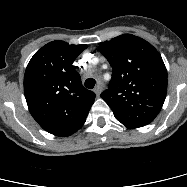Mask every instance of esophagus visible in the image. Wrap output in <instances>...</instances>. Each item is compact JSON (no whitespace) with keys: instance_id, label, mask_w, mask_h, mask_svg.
<instances>
[{"instance_id":"1","label":"esophagus","mask_w":187,"mask_h":187,"mask_svg":"<svg viewBox=\"0 0 187 187\" xmlns=\"http://www.w3.org/2000/svg\"><path fill=\"white\" fill-rule=\"evenodd\" d=\"M103 90V85L101 83H99L95 88H94V92L96 93L97 96H99L101 94Z\"/></svg>"}]
</instances>
